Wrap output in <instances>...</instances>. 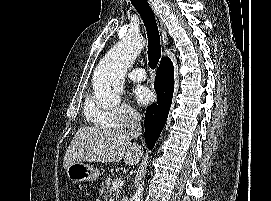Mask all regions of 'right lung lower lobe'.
<instances>
[{"label":"right lung lower lobe","mask_w":271,"mask_h":201,"mask_svg":"<svg viewBox=\"0 0 271 201\" xmlns=\"http://www.w3.org/2000/svg\"><path fill=\"white\" fill-rule=\"evenodd\" d=\"M155 91L157 103L150 105L145 114V140L153 149L168 117L174 91V71L171 60L160 63L156 72Z\"/></svg>","instance_id":"obj_1"}]
</instances>
